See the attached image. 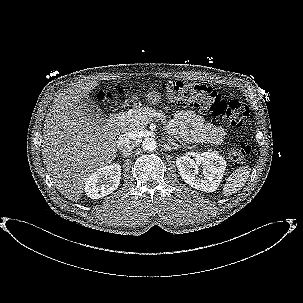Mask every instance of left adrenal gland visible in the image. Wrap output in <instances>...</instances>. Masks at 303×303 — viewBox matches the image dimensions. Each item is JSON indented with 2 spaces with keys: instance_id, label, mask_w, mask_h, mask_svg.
Wrapping results in <instances>:
<instances>
[{
  "instance_id": "1",
  "label": "left adrenal gland",
  "mask_w": 303,
  "mask_h": 303,
  "mask_svg": "<svg viewBox=\"0 0 303 303\" xmlns=\"http://www.w3.org/2000/svg\"><path fill=\"white\" fill-rule=\"evenodd\" d=\"M169 144L174 145V146H176V147H180L178 144L172 142L171 140H169Z\"/></svg>"
}]
</instances>
